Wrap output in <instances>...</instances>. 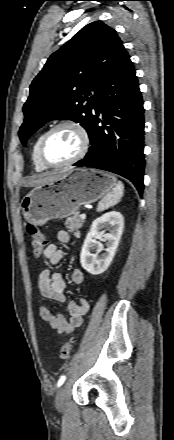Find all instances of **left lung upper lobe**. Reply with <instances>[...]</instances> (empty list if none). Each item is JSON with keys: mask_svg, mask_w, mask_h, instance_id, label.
I'll use <instances>...</instances> for the list:
<instances>
[{"mask_svg": "<svg viewBox=\"0 0 174 440\" xmlns=\"http://www.w3.org/2000/svg\"><path fill=\"white\" fill-rule=\"evenodd\" d=\"M123 50L116 31L95 21L54 52L30 85L19 130L22 144L45 122L57 118L79 122L87 130L93 104Z\"/></svg>", "mask_w": 174, "mask_h": 440, "instance_id": "obj_1", "label": "left lung upper lobe"}]
</instances>
